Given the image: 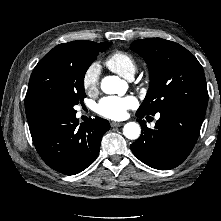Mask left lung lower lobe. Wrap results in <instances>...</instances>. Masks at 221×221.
<instances>
[{
  "label": "left lung lower lobe",
  "instance_id": "left-lung-lower-lobe-1",
  "mask_svg": "<svg viewBox=\"0 0 221 221\" xmlns=\"http://www.w3.org/2000/svg\"><path fill=\"white\" fill-rule=\"evenodd\" d=\"M206 107L193 104H177L162 110L155 129L146 126L141 136L131 144L134 155L146 165L168 170L180 165L192 151L204 120ZM147 114L136 112L138 118Z\"/></svg>",
  "mask_w": 221,
  "mask_h": 221
}]
</instances>
